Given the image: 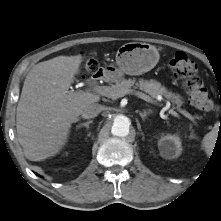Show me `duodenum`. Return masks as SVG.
<instances>
[{
  "label": "duodenum",
  "instance_id": "obj_1",
  "mask_svg": "<svg viewBox=\"0 0 221 221\" xmlns=\"http://www.w3.org/2000/svg\"><path fill=\"white\" fill-rule=\"evenodd\" d=\"M93 78L96 81H101L106 79V73L103 70H98L93 74Z\"/></svg>",
  "mask_w": 221,
  "mask_h": 221
}]
</instances>
